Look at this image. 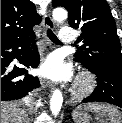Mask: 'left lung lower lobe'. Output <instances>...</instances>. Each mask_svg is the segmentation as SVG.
<instances>
[{
    "instance_id": "left-lung-lower-lobe-1",
    "label": "left lung lower lobe",
    "mask_w": 122,
    "mask_h": 123,
    "mask_svg": "<svg viewBox=\"0 0 122 123\" xmlns=\"http://www.w3.org/2000/svg\"><path fill=\"white\" fill-rule=\"evenodd\" d=\"M88 70L96 75L97 87L83 102H108L122 108V67L110 65Z\"/></svg>"
}]
</instances>
